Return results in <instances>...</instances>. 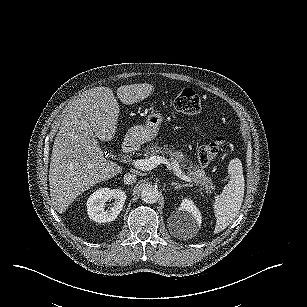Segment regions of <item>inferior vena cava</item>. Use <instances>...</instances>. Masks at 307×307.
Segmentation results:
<instances>
[{"instance_id":"602c4592","label":"inferior vena cava","mask_w":307,"mask_h":307,"mask_svg":"<svg viewBox=\"0 0 307 307\" xmlns=\"http://www.w3.org/2000/svg\"><path fill=\"white\" fill-rule=\"evenodd\" d=\"M137 180V177L135 174H132V173H126L124 175V183L127 184V185H130V184H133L135 183Z\"/></svg>"}]
</instances>
